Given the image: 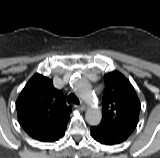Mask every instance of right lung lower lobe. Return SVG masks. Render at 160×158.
<instances>
[{"label": "right lung lower lobe", "instance_id": "98d812e1", "mask_svg": "<svg viewBox=\"0 0 160 158\" xmlns=\"http://www.w3.org/2000/svg\"><path fill=\"white\" fill-rule=\"evenodd\" d=\"M64 132H65V130H64L60 135H58V136L54 137L53 139H51V140H50V141H48V142H54V141H56V140L60 139V138L64 135Z\"/></svg>", "mask_w": 160, "mask_h": 158}]
</instances>
